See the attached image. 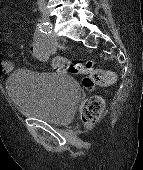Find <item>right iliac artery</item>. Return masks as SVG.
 Segmentation results:
<instances>
[{
  "label": "right iliac artery",
  "instance_id": "82829eb1",
  "mask_svg": "<svg viewBox=\"0 0 143 170\" xmlns=\"http://www.w3.org/2000/svg\"><path fill=\"white\" fill-rule=\"evenodd\" d=\"M38 30L43 33H51V26L48 22L41 21V23L38 24Z\"/></svg>",
  "mask_w": 143,
  "mask_h": 170
}]
</instances>
